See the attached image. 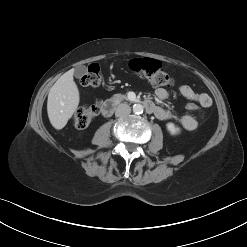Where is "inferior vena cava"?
I'll return each instance as SVG.
<instances>
[{
	"mask_svg": "<svg viewBox=\"0 0 247 247\" xmlns=\"http://www.w3.org/2000/svg\"><path fill=\"white\" fill-rule=\"evenodd\" d=\"M130 112H131V107L126 103H122L117 106L115 115L117 117H123L129 115Z\"/></svg>",
	"mask_w": 247,
	"mask_h": 247,
	"instance_id": "obj_1",
	"label": "inferior vena cava"
}]
</instances>
